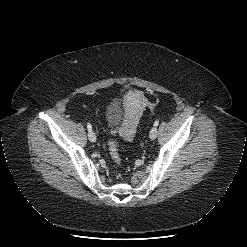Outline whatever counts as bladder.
I'll return each mask as SVG.
<instances>
[{
  "label": "bladder",
  "instance_id": "31cf9c89",
  "mask_svg": "<svg viewBox=\"0 0 247 247\" xmlns=\"http://www.w3.org/2000/svg\"><path fill=\"white\" fill-rule=\"evenodd\" d=\"M105 122L112 134L125 140L132 137L134 116L120 102L115 101L107 106Z\"/></svg>",
  "mask_w": 247,
  "mask_h": 247
}]
</instances>
